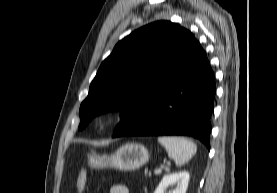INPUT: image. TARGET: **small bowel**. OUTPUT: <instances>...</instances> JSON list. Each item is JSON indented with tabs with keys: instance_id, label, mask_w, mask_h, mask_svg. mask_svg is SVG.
<instances>
[{
	"instance_id": "1",
	"label": "small bowel",
	"mask_w": 277,
	"mask_h": 193,
	"mask_svg": "<svg viewBox=\"0 0 277 193\" xmlns=\"http://www.w3.org/2000/svg\"><path fill=\"white\" fill-rule=\"evenodd\" d=\"M109 193H129V191L126 186L117 184L110 188Z\"/></svg>"
}]
</instances>
